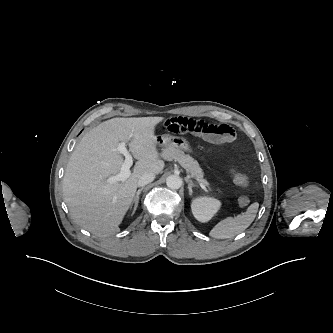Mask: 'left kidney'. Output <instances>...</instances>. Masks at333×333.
I'll return each instance as SVG.
<instances>
[{
  "label": "left kidney",
  "mask_w": 333,
  "mask_h": 333,
  "mask_svg": "<svg viewBox=\"0 0 333 333\" xmlns=\"http://www.w3.org/2000/svg\"><path fill=\"white\" fill-rule=\"evenodd\" d=\"M220 207V201L211 197H198L193 200L191 205L194 217L203 223L208 222Z\"/></svg>",
  "instance_id": "1"
}]
</instances>
